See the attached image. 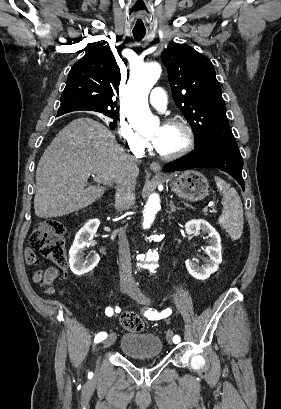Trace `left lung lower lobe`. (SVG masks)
<instances>
[{"mask_svg":"<svg viewBox=\"0 0 281 409\" xmlns=\"http://www.w3.org/2000/svg\"><path fill=\"white\" fill-rule=\"evenodd\" d=\"M198 167H216L229 173L244 190L243 159L238 146L203 144L186 157L167 164L164 171H184Z\"/></svg>","mask_w":281,"mask_h":409,"instance_id":"1","label":"left lung lower lobe"}]
</instances>
